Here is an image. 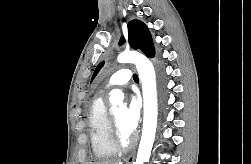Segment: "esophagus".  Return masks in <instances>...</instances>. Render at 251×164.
<instances>
[{"label": "esophagus", "mask_w": 251, "mask_h": 164, "mask_svg": "<svg viewBox=\"0 0 251 164\" xmlns=\"http://www.w3.org/2000/svg\"><path fill=\"white\" fill-rule=\"evenodd\" d=\"M135 159V151H133L127 158V164H132Z\"/></svg>", "instance_id": "34e87169"}]
</instances>
